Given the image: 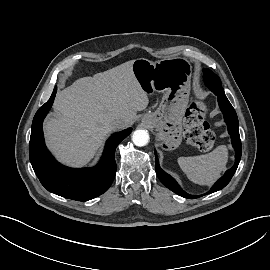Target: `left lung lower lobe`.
Segmentation results:
<instances>
[{"instance_id":"obj_1","label":"left lung lower lobe","mask_w":270,"mask_h":270,"mask_svg":"<svg viewBox=\"0 0 270 270\" xmlns=\"http://www.w3.org/2000/svg\"><path fill=\"white\" fill-rule=\"evenodd\" d=\"M218 103H219L221 111L224 114V119H225V122L228 126V132H229L231 139H232L231 140L232 146L236 152L235 153V165L232 168H230L229 170H227L225 175L223 177H221L215 183V185L207 193H205L203 195L210 194V193L216 192L218 190H221L230 182L231 178L233 177V175H234V173L239 165L241 154H242L237 114H236L234 108L232 107L231 103L228 101L227 97L218 96ZM155 157H156V164H155L156 173H157L160 181L168 189L172 190L173 192H175L179 196H182L185 198H198L200 196H203V195L195 196V195H191V194H188L185 191H183L180 188V186L177 184V182L170 175L165 173L160 168L158 157H157L156 153H155Z\"/></svg>"}]
</instances>
